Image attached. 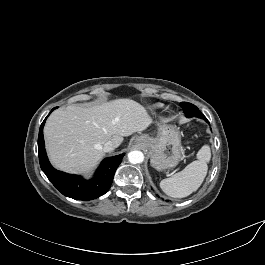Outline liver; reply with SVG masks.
<instances>
[{"label": "liver", "mask_w": 265, "mask_h": 265, "mask_svg": "<svg viewBox=\"0 0 265 265\" xmlns=\"http://www.w3.org/2000/svg\"><path fill=\"white\" fill-rule=\"evenodd\" d=\"M151 121L144 106L127 98L56 110L44 127L50 161L62 171L86 173L104 156L106 142L118 147L123 137L146 130Z\"/></svg>", "instance_id": "obj_1"}]
</instances>
